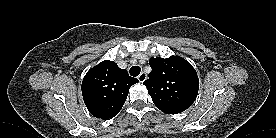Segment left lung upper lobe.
I'll use <instances>...</instances> for the list:
<instances>
[{
    "label": "left lung upper lobe",
    "instance_id": "left-lung-upper-lobe-1",
    "mask_svg": "<svg viewBox=\"0 0 276 138\" xmlns=\"http://www.w3.org/2000/svg\"><path fill=\"white\" fill-rule=\"evenodd\" d=\"M152 72L144 82L157 108L178 114L195 101L199 80L193 66L179 56L150 58Z\"/></svg>",
    "mask_w": 276,
    "mask_h": 138
}]
</instances>
